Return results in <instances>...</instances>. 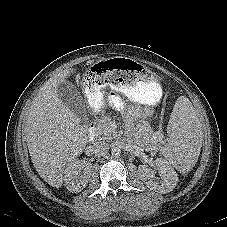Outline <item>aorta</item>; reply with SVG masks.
<instances>
[{"label":"aorta","mask_w":227,"mask_h":227,"mask_svg":"<svg viewBox=\"0 0 227 227\" xmlns=\"http://www.w3.org/2000/svg\"><path fill=\"white\" fill-rule=\"evenodd\" d=\"M120 154H121V149H120V147H118V146H113V147L111 148V155H112L113 157H119Z\"/></svg>","instance_id":"aorta-1"}]
</instances>
